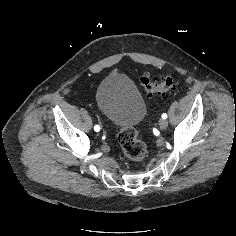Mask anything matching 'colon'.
I'll return each mask as SVG.
<instances>
[{
    "instance_id": "obj_1",
    "label": "colon",
    "mask_w": 236,
    "mask_h": 236,
    "mask_svg": "<svg viewBox=\"0 0 236 236\" xmlns=\"http://www.w3.org/2000/svg\"><path fill=\"white\" fill-rule=\"evenodd\" d=\"M141 87L151 94H165L176 88V81L171 76L154 79L144 74L139 79ZM118 142L125 156L135 162H142L147 155L146 145L138 139L134 127L121 128L118 134Z\"/></svg>"
}]
</instances>
